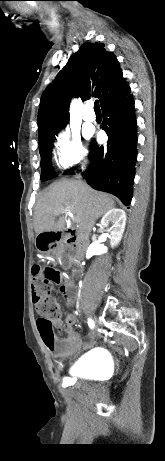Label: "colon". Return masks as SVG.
<instances>
[{
  "label": "colon",
  "mask_w": 165,
  "mask_h": 461,
  "mask_svg": "<svg viewBox=\"0 0 165 461\" xmlns=\"http://www.w3.org/2000/svg\"><path fill=\"white\" fill-rule=\"evenodd\" d=\"M51 237L43 236L42 244L45 247L52 245ZM31 293L36 310L40 315L38 329L43 343L48 349L56 345L52 320L58 318L60 307L58 300L51 296L54 285L60 283L61 272L53 266L35 265L32 270Z\"/></svg>",
  "instance_id": "obj_1"
}]
</instances>
